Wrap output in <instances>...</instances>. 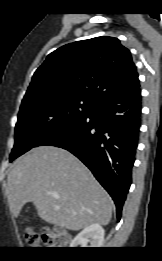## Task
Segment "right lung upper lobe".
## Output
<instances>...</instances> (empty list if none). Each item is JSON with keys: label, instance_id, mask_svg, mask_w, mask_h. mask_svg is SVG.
<instances>
[{"label": "right lung upper lobe", "instance_id": "cb5924a9", "mask_svg": "<svg viewBox=\"0 0 162 261\" xmlns=\"http://www.w3.org/2000/svg\"><path fill=\"white\" fill-rule=\"evenodd\" d=\"M130 51L114 37H96L64 45L36 70L23 100L75 95L97 101L139 87Z\"/></svg>", "mask_w": 162, "mask_h": 261}]
</instances>
